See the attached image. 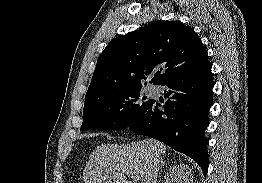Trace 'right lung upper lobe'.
Returning <instances> with one entry per match:
<instances>
[{
	"label": "right lung upper lobe",
	"instance_id": "obj_1",
	"mask_svg": "<svg viewBox=\"0 0 262 183\" xmlns=\"http://www.w3.org/2000/svg\"><path fill=\"white\" fill-rule=\"evenodd\" d=\"M208 62L207 51L191 27L180 21H157L114 38L97 60L85 102L142 87Z\"/></svg>",
	"mask_w": 262,
	"mask_h": 183
}]
</instances>
